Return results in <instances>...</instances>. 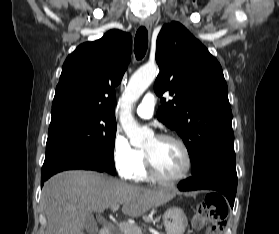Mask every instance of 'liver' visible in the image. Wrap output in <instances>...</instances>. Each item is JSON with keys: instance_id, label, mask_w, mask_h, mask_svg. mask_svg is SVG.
Listing matches in <instances>:
<instances>
[{"instance_id": "obj_1", "label": "liver", "mask_w": 279, "mask_h": 234, "mask_svg": "<svg viewBox=\"0 0 279 234\" xmlns=\"http://www.w3.org/2000/svg\"><path fill=\"white\" fill-rule=\"evenodd\" d=\"M166 190L130 185L105 174L73 170L51 177L42 189L45 234H84L87 216L116 204L129 217H140L173 198Z\"/></svg>"}]
</instances>
